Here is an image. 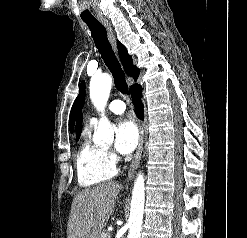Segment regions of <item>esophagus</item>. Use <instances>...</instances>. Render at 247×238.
Instances as JSON below:
<instances>
[{
  "label": "esophagus",
  "mask_w": 247,
  "mask_h": 238,
  "mask_svg": "<svg viewBox=\"0 0 247 238\" xmlns=\"http://www.w3.org/2000/svg\"><path fill=\"white\" fill-rule=\"evenodd\" d=\"M101 22L106 27L107 32H108V37H109L113 47L116 49V39H115L114 32H113V29H112L110 23L107 20H101ZM138 127H139V134H140L139 135V143H138L136 153L133 157V160H132L130 167H129V170H128L127 180H131L134 177L135 172H136L138 165L140 163L141 155H142V151H143L144 125L141 121L138 122Z\"/></svg>",
  "instance_id": "esophagus-1"
}]
</instances>
